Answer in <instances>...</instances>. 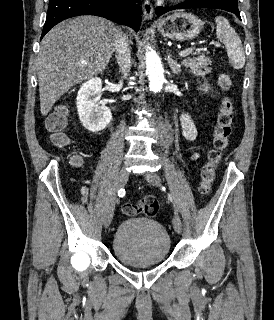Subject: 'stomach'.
I'll return each instance as SVG.
<instances>
[{"label":"stomach","mask_w":274,"mask_h":320,"mask_svg":"<svg viewBox=\"0 0 274 320\" xmlns=\"http://www.w3.org/2000/svg\"><path fill=\"white\" fill-rule=\"evenodd\" d=\"M155 28H157L164 38L184 42V40H194V38H197L204 28V22L199 20L197 16H193V14L176 12L172 16L159 20Z\"/></svg>","instance_id":"0dacf381"}]
</instances>
